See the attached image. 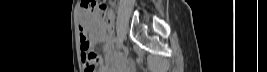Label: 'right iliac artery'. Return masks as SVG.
<instances>
[{"label":"right iliac artery","mask_w":267,"mask_h":72,"mask_svg":"<svg viewBox=\"0 0 267 72\" xmlns=\"http://www.w3.org/2000/svg\"><path fill=\"white\" fill-rule=\"evenodd\" d=\"M114 43H115V45H117V44L119 43L118 38H115V39H114Z\"/></svg>","instance_id":"obj_1"}]
</instances>
